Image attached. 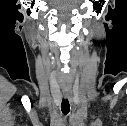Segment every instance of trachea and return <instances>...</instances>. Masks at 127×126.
Returning a JSON list of instances; mask_svg holds the SVG:
<instances>
[{
  "instance_id": "obj_1",
  "label": "trachea",
  "mask_w": 127,
  "mask_h": 126,
  "mask_svg": "<svg viewBox=\"0 0 127 126\" xmlns=\"http://www.w3.org/2000/svg\"><path fill=\"white\" fill-rule=\"evenodd\" d=\"M61 110L64 115H67L70 111V104L68 99H63L61 103Z\"/></svg>"
}]
</instances>
